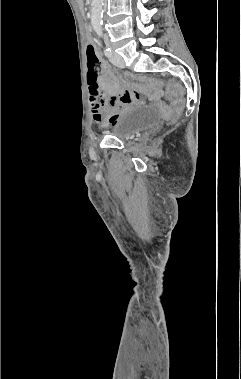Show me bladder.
I'll return each mask as SVG.
<instances>
[{
  "label": "bladder",
  "instance_id": "31cf9c89",
  "mask_svg": "<svg viewBox=\"0 0 241 379\" xmlns=\"http://www.w3.org/2000/svg\"><path fill=\"white\" fill-rule=\"evenodd\" d=\"M160 119V113L156 108L138 105L116 120L112 126V135L120 140H129L155 127Z\"/></svg>",
  "mask_w": 241,
  "mask_h": 379
}]
</instances>
